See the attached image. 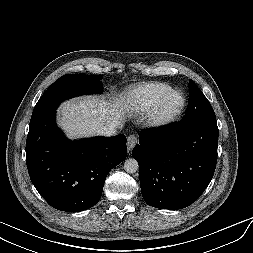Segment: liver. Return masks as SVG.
Masks as SVG:
<instances>
[{
    "label": "liver",
    "mask_w": 253,
    "mask_h": 253,
    "mask_svg": "<svg viewBox=\"0 0 253 253\" xmlns=\"http://www.w3.org/2000/svg\"><path fill=\"white\" fill-rule=\"evenodd\" d=\"M128 110L129 106L120 100L110 103L89 96L76 98L64 102L59 108V126L71 139L93 136L108 124L122 128Z\"/></svg>",
    "instance_id": "1"
}]
</instances>
